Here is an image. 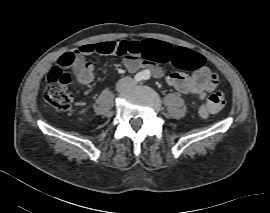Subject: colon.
Returning <instances> with one entry per match:
<instances>
[{
	"label": "colon",
	"instance_id": "5ec220e1",
	"mask_svg": "<svg viewBox=\"0 0 270 213\" xmlns=\"http://www.w3.org/2000/svg\"><path fill=\"white\" fill-rule=\"evenodd\" d=\"M106 54L140 56L147 58L150 47L141 46L137 41L114 40L106 42L102 48ZM74 57V52L68 51L64 53L53 65L47 73V86L44 92L46 105L56 112H67L72 105L75 94L69 88L71 79L66 69L69 60ZM180 58L175 60V64L179 65ZM188 63L192 67H200L203 64L201 55L195 53L188 54ZM225 107V98L222 93H214L209 96L200 107V115L208 117L221 112Z\"/></svg>",
	"mask_w": 270,
	"mask_h": 213
}]
</instances>
